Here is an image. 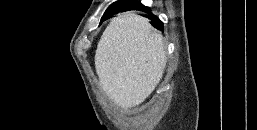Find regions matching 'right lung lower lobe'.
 I'll list each match as a JSON object with an SVG mask.
<instances>
[{
    "label": "right lung lower lobe",
    "instance_id": "obj_1",
    "mask_svg": "<svg viewBox=\"0 0 257 130\" xmlns=\"http://www.w3.org/2000/svg\"><path fill=\"white\" fill-rule=\"evenodd\" d=\"M128 10H141L144 12H149L150 8L149 7H145L144 5H142L140 2H136V1H131L130 3L118 8L116 11L112 12V13H107L105 16L102 17V20H105L108 16H110L113 13H117V12H123V11H128ZM151 23L153 26L159 28V29H163V23L153 14H151Z\"/></svg>",
    "mask_w": 257,
    "mask_h": 130
}]
</instances>
